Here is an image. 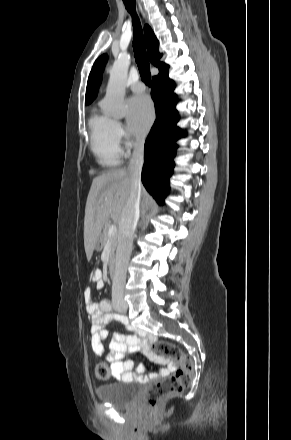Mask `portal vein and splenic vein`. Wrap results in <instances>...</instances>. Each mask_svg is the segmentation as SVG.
<instances>
[{
  "label": "portal vein and splenic vein",
  "mask_w": 291,
  "mask_h": 440,
  "mask_svg": "<svg viewBox=\"0 0 291 440\" xmlns=\"http://www.w3.org/2000/svg\"><path fill=\"white\" fill-rule=\"evenodd\" d=\"M117 233V227L115 225H111L108 230V235L113 236Z\"/></svg>",
  "instance_id": "1"
}]
</instances>
